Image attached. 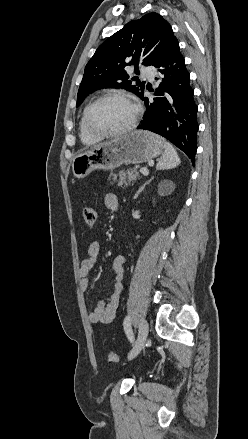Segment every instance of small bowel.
Wrapping results in <instances>:
<instances>
[{"label":"small bowel","mask_w":248,"mask_h":439,"mask_svg":"<svg viewBox=\"0 0 248 439\" xmlns=\"http://www.w3.org/2000/svg\"><path fill=\"white\" fill-rule=\"evenodd\" d=\"M105 205L108 209L115 211L118 208V197L114 193H109L105 196ZM100 253V243L93 241L87 248V254L82 259L78 271L79 285L83 292L89 288L88 276L94 267L98 255ZM126 259L122 255L116 256L111 261V271L115 278L113 282V291L105 299L100 300L94 309L89 313V321L97 324H108L115 318L119 306L120 295L123 289L124 266Z\"/></svg>","instance_id":"small-bowel-1"}]
</instances>
